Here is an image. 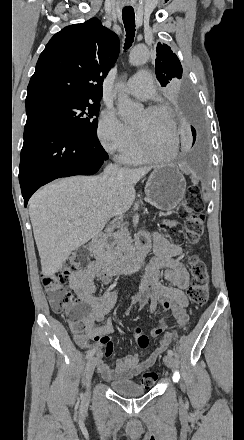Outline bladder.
I'll use <instances>...</instances> for the list:
<instances>
[{"instance_id":"bladder-1","label":"bladder","mask_w":244,"mask_h":440,"mask_svg":"<svg viewBox=\"0 0 244 440\" xmlns=\"http://www.w3.org/2000/svg\"><path fill=\"white\" fill-rule=\"evenodd\" d=\"M112 388L114 392H118L126 396H134L139 394H144L146 392V387H141L138 382L121 380L112 383Z\"/></svg>"}]
</instances>
